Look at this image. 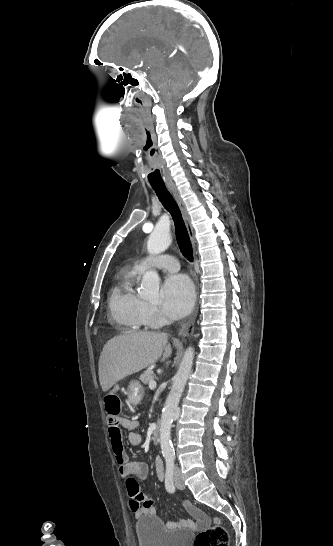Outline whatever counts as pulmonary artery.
<instances>
[{"label":"pulmonary artery","instance_id":"obj_1","mask_svg":"<svg viewBox=\"0 0 333 546\" xmlns=\"http://www.w3.org/2000/svg\"><path fill=\"white\" fill-rule=\"evenodd\" d=\"M135 269L143 272L149 268H158L164 271L176 272L179 270L177 259L171 255H161L158 257H144L136 262Z\"/></svg>","mask_w":333,"mask_h":546}]
</instances>
